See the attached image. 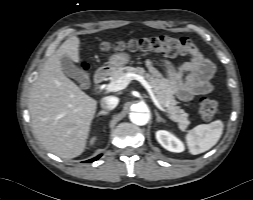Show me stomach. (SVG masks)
Wrapping results in <instances>:
<instances>
[{"instance_id":"0dacf381","label":"stomach","mask_w":253,"mask_h":200,"mask_svg":"<svg viewBox=\"0 0 253 200\" xmlns=\"http://www.w3.org/2000/svg\"><path fill=\"white\" fill-rule=\"evenodd\" d=\"M130 61V56L126 53H115L112 54L107 62L109 71H114L120 67H123Z\"/></svg>"}]
</instances>
